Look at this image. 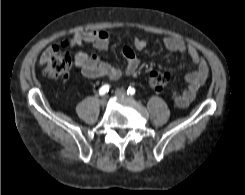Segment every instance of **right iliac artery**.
<instances>
[{
	"label": "right iliac artery",
	"instance_id": "82829eb1",
	"mask_svg": "<svg viewBox=\"0 0 245 195\" xmlns=\"http://www.w3.org/2000/svg\"><path fill=\"white\" fill-rule=\"evenodd\" d=\"M109 91V85H103L100 90H99V94L100 95H104Z\"/></svg>",
	"mask_w": 245,
	"mask_h": 195
}]
</instances>
